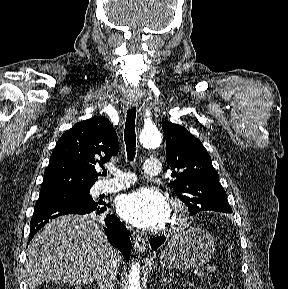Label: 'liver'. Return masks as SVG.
<instances>
[{
	"instance_id": "obj_1",
	"label": "liver",
	"mask_w": 288,
	"mask_h": 289,
	"mask_svg": "<svg viewBox=\"0 0 288 289\" xmlns=\"http://www.w3.org/2000/svg\"><path fill=\"white\" fill-rule=\"evenodd\" d=\"M121 254L103 233L96 217L65 215L46 224L27 249L25 278L30 289L43 282L89 284Z\"/></svg>"
}]
</instances>
